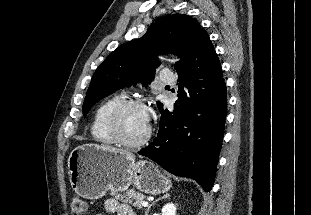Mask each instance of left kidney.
Returning <instances> with one entry per match:
<instances>
[{
	"label": "left kidney",
	"instance_id": "left-kidney-1",
	"mask_svg": "<svg viewBox=\"0 0 311 215\" xmlns=\"http://www.w3.org/2000/svg\"><path fill=\"white\" fill-rule=\"evenodd\" d=\"M176 206L173 203H168L162 208L161 215H176Z\"/></svg>",
	"mask_w": 311,
	"mask_h": 215
}]
</instances>
